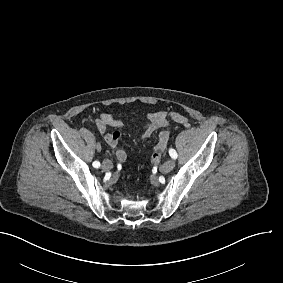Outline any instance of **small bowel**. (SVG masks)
I'll return each instance as SVG.
<instances>
[{
    "instance_id": "c3829d8e",
    "label": "small bowel",
    "mask_w": 283,
    "mask_h": 283,
    "mask_svg": "<svg viewBox=\"0 0 283 283\" xmlns=\"http://www.w3.org/2000/svg\"><path fill=\"white\" fill-rule=\"evenodd\" d=\"M146 124L139 133L140 139L150 137L156 133L161 127H169L172 122L189 126L188 119L176 111H156L145 115ZM95 125L98 131L104 134L106 143L115 150L116 158L119 162H124L127 159L125 150L118 148L119 140L122 137V130L126 128L125 123L109 113H98L95 119ZM108 128H114L115 131L107 133Z\"/></svg>"
}]
</instances>
